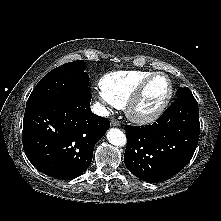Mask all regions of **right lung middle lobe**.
<instances>
[{"instance_id": "dd1d6c3e", "label": "right lung middle lobe", "mask_w": 221, "mask_h": 221, "mask_svg": "<svg viewBox=\"0 0 221 221\" xmlns=\"http://www.w3.org/2000/svg\"><path fill=\"white\" fill-rule=\"evenodd\" d=\"M83 60L63 64L51 70L36 85L26 106L50 100H72L88 91L89 76Z\"/></svg>"}]
</instances>
